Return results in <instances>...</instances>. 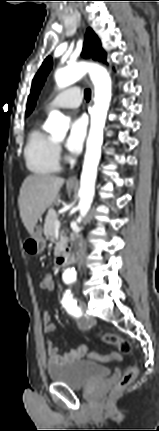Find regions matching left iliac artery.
<instances>
[{
    "label": "left iliac artery",
    "mask_w": 159,
    "mask_h": 431,
    "mask_svg": "<svg viewBox=\"0 0 159 431\" xmlns=\"http://www.w3.org/2000/svg\"><path fill=\"white\" fill-rule=\"evenodd\" d=\"M62 305L66 309V311L74 315L76 317L81 316V308L78 307L76 299L73 297L72 293L70 291H67L62 299Z\"/></svg>",
    "instance_id": "44dca946"
}]
</instances>
